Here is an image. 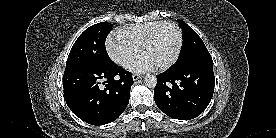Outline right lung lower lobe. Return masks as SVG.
Returning <instances> with one entry per match:
<instances>
[{
    "mask_svg": "<svg viewBox=\"0 0 276 138\" xmlns=\"http://www.w3.org/2000/svg\"><path fill=\"white\" fill-rule=\"evenodd\" d=\"M132 84V74L113 62L76 64L66 67L63 76L68 107L92 125L111 123L121 115L129 103Z\"/></svg>",
    "mask_w": 276,
    "mask_h": 138,
    "instance_id": "right-lung-lower-lobe-1",
    "label": "right lung lower lobe"
}]
</instances>
